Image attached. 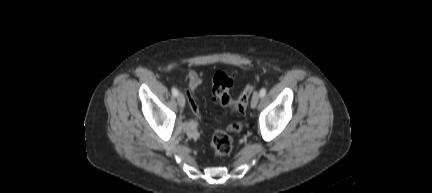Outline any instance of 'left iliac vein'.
<instances>
[{
  "label": "left iliac vein",
  "mask_w": 432,
  "mask_h": 193,
  "mask_svg": "<svg viewBox=\"0 0 432 193\" xmlns=\"http://www.w3.org/2000/svg\"><path fill=\"white\" fill-rule=\"evenodd\" d=\"M259 99H260L259 93L258 92H254V94L252 96V99H251V108L254 109V108L257 107Z\"/></svg>",
  "instance_id": "4c4485c4"
}]
</instances>
